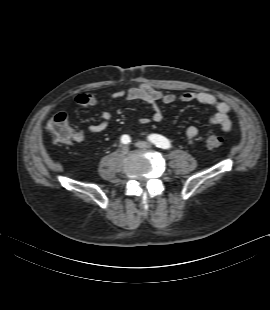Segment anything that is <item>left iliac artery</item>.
I'll list each match as a JSON object with an SVG mask.
<instances>
[{"mask_svg":"<svg viewBox=\"0 0 270 310\" xmlns=\"http://www.w3.org/2000/svg\"><path fill=\"white\" fill-rule=\"evenodd\" d=\"M149 141L153 143L155 146L162 149H169L171 147L170 141L164 136L153 134L149 136Z\"/></svg>","mask_w":270,"mask_h":310,"instance_id":"left-iliac-artery-1","label":"left iliac artery"}]
</instances>
